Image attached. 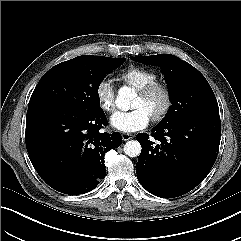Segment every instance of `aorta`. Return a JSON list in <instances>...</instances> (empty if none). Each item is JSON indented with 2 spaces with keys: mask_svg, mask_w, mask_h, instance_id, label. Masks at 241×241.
<instances>
[{
  "mask_svg": "<svg viewBox=\"0 0 241 241\" xmlns=\"http://www.w3.org/2000/svg\"><path fill=\"white\" fill-rule=\"evenodd\" d=\"M134 92L130 87L123 86L118 90L116 98V105L119 109L124 111L130 108L131 100L133 99ZM141 145L136 140L127 141L124 145V152L129 157H137L141 153Z\"/></svg>",
  "mask_w": 241,
  "mask_h": 241,
  "instance_id": "1",
  "label": "aorta"
}]
</instances>
